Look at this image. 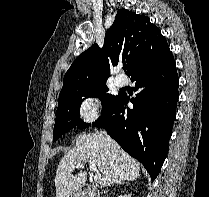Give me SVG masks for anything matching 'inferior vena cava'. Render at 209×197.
Masks as SVG:
<instances>
[{"instance_id":"602c4592","label":"inferior vena cava","mask_w":209,"mask_h":197,"mask_svg":"<svg viewBox=\"0 0 209 197\" xmlns=\"http://www.w3.org/2000/svg\"><path fill=\"white\" fill-rule=\"evenodd\" d=\"M100 134L102 136H104L108 142L110 141V138H109V136L107 135V133L105 131H102Z\"/></svg>"}]
</instances>
